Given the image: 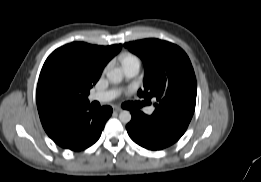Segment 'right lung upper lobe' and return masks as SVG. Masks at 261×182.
Here are the masks:
<instances>
[{
    "mask_svg": "<svg viewBox=\"0 0 261 182\" xmlns=\"http://www.w3.org/2000/svg\"><path fill=\"white\" fill-rule=\"evenodd\" d=\"M121 47L73 42L49 55L36 93L40 120L49 137L55 136L77 111L89 108L91 87Z\"/></svg>",
    "mask_w": 261,
    "mask_h": 182,
    "instance_id": "right-lung-upper-lobe-1",
    "label": "right lung upper lobe"
}]
</instances>
